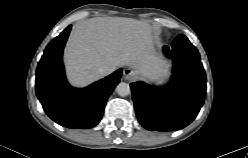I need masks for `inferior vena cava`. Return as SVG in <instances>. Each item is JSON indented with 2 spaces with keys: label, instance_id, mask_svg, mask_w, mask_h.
<instances>
[{
  "label": "inferior vena cava",
  "instance_id": "obj_1",
  "mask_svg": "<svg viewBox=\"0 0 248 158\" xmlns=\"http://www.w3.org/2000/svg\"><path fill=\"white\" fill-rule=\"evenodd\" d=\"M98 71L101 76H107L112 72V68L105 65V66L100 67Z\"/></svg>",
  "mask_w": 248,
  "mask_h": 158
}]
</instances>
